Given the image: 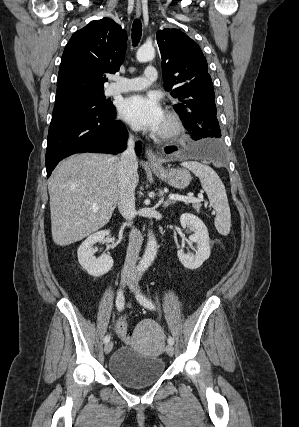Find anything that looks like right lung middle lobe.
<instances>
[{
    "instance_id": "dd1d6c3e",
    "label": "right lung middle lobe",
    "mask_w": 299,
    "mask_h": 427,
    "mask_svg": "<svg viewBox=\"0 0 299 427\" xmlns=\"http://www.w3.org/2000/svg\"><path fill=\"white\" fill-rule=\"evenodd\" d=\"M73 110H86L100 113H113L116 111L112 103L106 102L104 92H97L56 102L52 117Z\"/></svg>"
}]
</instances>
